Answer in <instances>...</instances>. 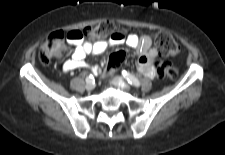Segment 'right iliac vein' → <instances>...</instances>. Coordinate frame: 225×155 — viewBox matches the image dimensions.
Wrapping results in <instances>:
<instances>
[{"mask_svg":"<svg viewBox=\"0 0 225 155\" xmlns=\"http://www.w3.org/2000/svg\"><path fill=\"white\" fill-rule=\"evenodd\" d=\"M93 88H94V83L93 82H87L86 83V89L88 91L93 90Z\"/></svg>","mask_w":225,"mask_h":155,"instance_id":"63e3f726","label":"right iliac vein"}]
</instances>
